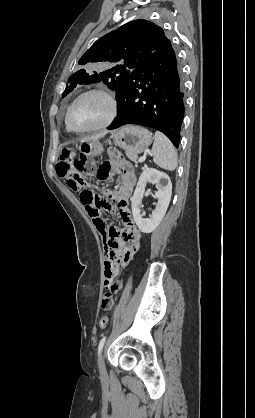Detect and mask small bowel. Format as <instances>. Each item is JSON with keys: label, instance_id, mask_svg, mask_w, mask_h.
<instances>
[{"label": "small bowel", "instance_id": "small-bowel-1", "mask_svg": "<svg viewBox=\"0 0 255 418\" xmlns=\"http://www.w3.org/2000/svg\"><path fill=\"white\" fill-rule=\"evenodd\" d=\"M108 154V161L99 168V176L104 178L112 174L120 175V187L118 191L111 192L110 197L118 206L123 227H107L103 232L97 227L96 221H93L103 239L105 291L102 293L100 309L104 313L113 311L114 301L118 298L117 292L121 288V283L114 280H119L122 277V270L126 269L131 261H134L138 253L137 249H140L141 246L139 228H126L132 224L128 202L136 181L134 172L131 166L123 161L120 147H109ZM107 208L112 207L109 205L105 209L107 210Z\"/></svg>", "mask_w": 255, "mask_h": 418}]
</instances>
